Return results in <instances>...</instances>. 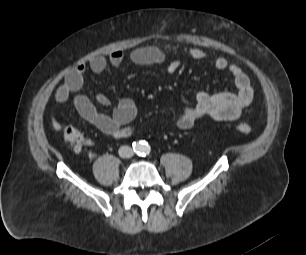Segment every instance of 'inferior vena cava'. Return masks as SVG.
I'll list each match as a JSON object with an SVG mask.
<instances>
[{"instance_id": "inferior-vena-cava-1", "label": "inferior vena cava", "mask_w": 306, "mask_h": 255, "mask_svg": "<svg viewBox=\"0 0 306 255\" xmlns=\"http://www.w3.org/2000/svg\"><path fill=\"white\" fill-rule=\"evenodd\" d=\"M119 156L122 158H130L134 155V151L131 147L129 146H121L119 148Z\"/></svg>"}]
</instances>
